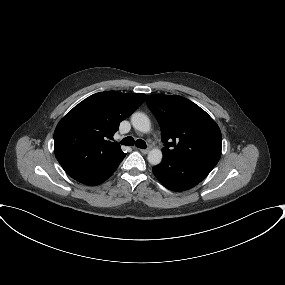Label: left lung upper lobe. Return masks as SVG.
<instances>
[{
	"label": "left lung upper lobe",
	"instance_id": "5c2ea615",
	"mask_svg": "<svg viewBox=\"0 0 285 285\" xmlns=\"http://www.w3.org/2000/svg\"><path fill=\"white\" fill-rule=\"evenodd\" d=\"M146 102L162 127L164 157L215 167L221 157V131L203 109L178 95H147Z\"/></svg>",
	"mask_w": 285,
	"mask_h": 285
}]
</instances>
